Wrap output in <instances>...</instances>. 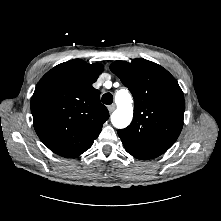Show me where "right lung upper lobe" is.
Instances as JSON below:
<instances>
[{"label": "right lung upper lobe", "instance_id": "obj_1", "mask_svg": "<svg viewBox=\"0 0 221 221\" xmlns=\"http://www.w3.org/2000/svg\"><path fill=\"white\" fill-rule=\"evenodd\" d=\"M103 65L74 59L55 66L31 98L35 131L52 152L75 158L88 150L109 118L92 84Z\"/></svg>", "mask_w": 221, "mask_h": 221}]
</instances>
